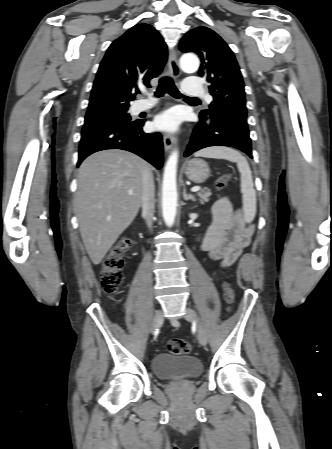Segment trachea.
Segmentation results:
<instances>
[{"label":"trachea","instance_id":"trachea-1","mask_svg":"<svg viewBox=\"0 0 332 449\" xmlns=\"http://www.w3.org/2000/svg\"><path fill=\"white\" fill-rule=\"evenodd\" d=\"M166 92L175 98H180L183 96L176 88V86L173 82V79L169 76H165L160 79L158 88L155 92V96L160 97ZM184 98L189 99V100L200 101L198 98H194V97L184 96Z\"/></svg>","mask_w":332,"mask_h":449}]
</instances>
